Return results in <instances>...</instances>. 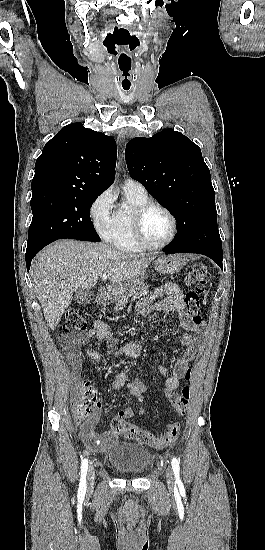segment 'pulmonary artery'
Listing matches in <instances>:
<instances>
[{
  "instance_id": "pulmonary-artery-1",
  "label": "pulmonary artery",
  "mask_w": 265,
  "mask_h": 550,
  "mask_svg": "<svg viewBox=\"0 0 265 550\" xmlns=\"http://www.w3.org/2000/svg\"><path fill=\"white\" fill-rule=\"evenodd\" d=\"M124 189L134 191V192H137V193H140V194H147L146 189L144 188V186L140 182L135 181L133 179H127L125 181Z\"/></svg>"
}]
</instances>
